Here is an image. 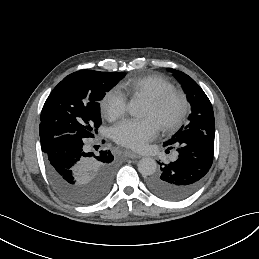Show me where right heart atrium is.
I'll return each mask as SVG.
<instances>
[{
  "mask_svg": "<svg viewBox=\"0 0 259 259\" xmlns=\"http://www.w3.org/2000/svg\"><path fill=\"white\" fill-rule=\"evenodd\" d=\"M104 103L106 112L111 118H117L126 111V99L120 96L116 90H111L105 95Z\"/></svg>",
  "mask_w": 259,
  "mask_h": 259,
  "instance_id": "1",
  "label": "right heart atrium"
}]
</instances>
